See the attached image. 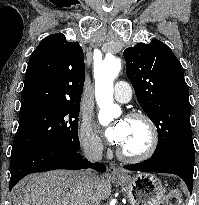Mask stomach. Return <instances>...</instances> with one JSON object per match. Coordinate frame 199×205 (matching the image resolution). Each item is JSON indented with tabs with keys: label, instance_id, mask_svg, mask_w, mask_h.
Returning a JSON list of instances; mask_svg holds the SVG:
<instances>
[{
	"label": "stomach",
	"instance_id": "0dacf381",
	"mask_svg": "<svg viewBox=\"0 0 199 205\" xmlns=\"http://www.w3.org/2000/svg\"><path fill=\"white\" fill-rule=\"evenodd\" d=\"M115 180L126 191L131 205H160L165 196L161 180L153 174L122 175Z\"/></svg>",
	"mask_w": 199,
	"mask_h": 205
}]
</instances>
